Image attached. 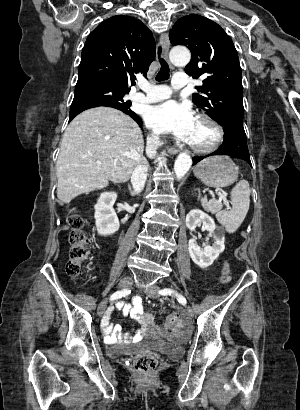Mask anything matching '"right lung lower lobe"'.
<instances>
[{"mask_svg": "<svg viewBox=\"0 0 300 410\" xmlns=\"http://www.w3.org/2000/svg\"><path fill=\"white\" fill-rule=\"evenodd\" d=\"M95 107H97V106H95ZM109 107H110V106H109ZM89 108H92V107L82 108V109H80V110H77V111H75V112L70 113V119H69V121H71L76 115H78V114L81 113L82 111H84V110H86V109H89ZM113 108H116V107H113ZM116 109H119V110L123 111L124 113H126L127 115H129L130 117H132L140 126L142 125V120H141L140 117H139L137 114H135L133 111H129V110H126V109H124V108H116Z\"/></svg>", "mask_w": 300, "mask_h": 410, "instance_id": "98d812e1", "label": "right lung lower lobe"}]
</instances>
